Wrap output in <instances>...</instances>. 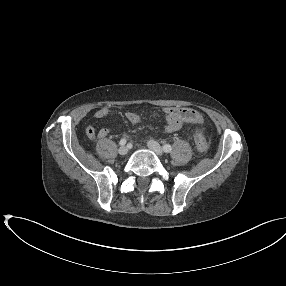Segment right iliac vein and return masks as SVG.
<instances>
[{"mask_svg": "<svg viewBox=\"0 0 286 286\" xmlns=\"http://www.w3.org/2000/svg\"><path fill=\"white\" fill-rule=\"evenodd\" d=\"M118 153L122 156L126 155L128 153V148L126 146H121L118 149Z\"/></svg>", "mask_w": 286, "mask_h": 286, "instance_id": "obj_1", "label": "right iliac vein"}]
</instances>
